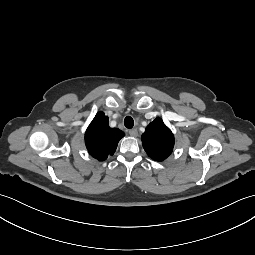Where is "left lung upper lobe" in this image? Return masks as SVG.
Listing matches in <instances>:
<instances>
[{"mask_svg": "<svg viewBox=\"0 0 255 255\" xmlns=\"http://www.w3.org/2000/svg\"><path fill=\"white\" fill-rule=\"evenodd\" d=\"M141 140L148 156L156 161L165 160L174 147V136L159 117L146 127Z\"/></svg>", "mask_w": 255, "mask_h": 255, "instance_id": "5c2ea615", "label": "left lung upper lobe"}]
</instances>
